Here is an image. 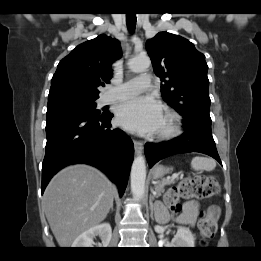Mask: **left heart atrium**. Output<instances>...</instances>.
I'll use <instances>...</instances> for the list:
<instances>
[{"instance_id":"obj_1","label":"left heart atrium","mask_w":261,"mask_h":261,"mask_svg":"<svg viewBox=\"0 0 261 261\" xmlns=\"http://www.w3.org/2000/svg\"><path fill=\"white\" fill-rule=\"evenodd\" d=\"M165 116L161 103L152 96H135L121 102L117 121L123 128L139 134L161 130Z\"/></svg>"}]
</instances>
